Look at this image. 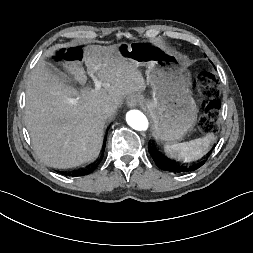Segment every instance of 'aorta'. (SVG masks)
I'll use <instances>...</instances> for the list:
<instances>
[{
  "label": "aorta",
  "mask_w": 253,
  "mask_h": 253,
  "mask_svg": "<svg viewBox=\"0 0 253 253\" xmlns=\"http://www.w3.org/2000/svg\"><path fill=\"white\" fill-rule=\"evenodd\" d=\"M126 121L128 125L138 131H145L148 128V119L139 110H130L126 114Z\"/></svg>",
  "instance_id": "obj_1"
}]
</instances>
